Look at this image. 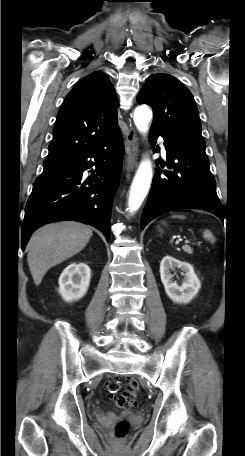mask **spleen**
Wrapping results in <instances>:
<instances>
[{
	"mask_svg": "<svg viewBox=\"0 0 245 456\" xmlns=\"http://www.w3.org/2000/svg\"><path fill=\"white\" fill-rule=\"evenodd\" d=\"M204 237L209 239V240H211V241H214V237H213L212 233L210 231H208V230L204 232Z\"/></svg>",
	"mask_w": 245,
	"mask_h": 456,
	"instance_id": "1",
	"label": "spleen"
}]
</instances>
